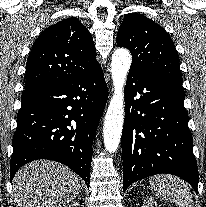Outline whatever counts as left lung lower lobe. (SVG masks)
<instances>
[{"instance_id":"0a47b994","label":"left lung lower lobe","mask_w":206,"mask_h":207,"mask_svg":"<svg viewBox=\"0 0 206 207\" xmlns=\"http://www.w3.org/2000/svg\"><path fill=\"white\" fill-rule=\"evenodd\" d=\"M185 93L181 84L129 71L122 132L123 190L143 178L174 174L198 192Z\"/></svg>"}]
</instances>
